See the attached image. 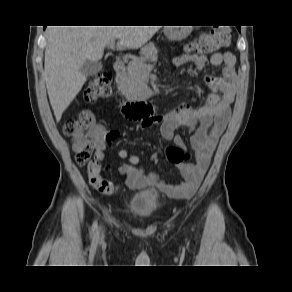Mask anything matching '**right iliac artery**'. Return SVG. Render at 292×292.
Wrapping results in <instances>:
<instances>
[{"label":"right iliac artery","mask_w":292,"mask_h":292,"mask_svg":"<svg viewBox=\"0 0 292 292\" xmlns=\"http://www.w3.org/2000/svg\"><path fill=\"white\" fill-rule=\"evenodd\" d=\"M96 232H97V223H96V222H94V224H93V226H92V231H91V234H92V235H95V234H96Z\"/></svg>","instance_id":"1"}]
</instances>
